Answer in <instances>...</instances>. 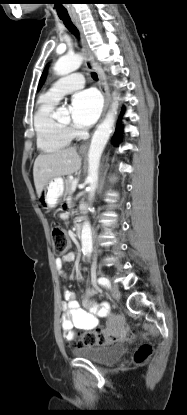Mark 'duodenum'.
<instances>
[{"label":"duodenum","mask_w":187,"mask_h":415,"mask_svg":"<svg viewBox=\"0 0 187 415\" xmlns=\"http://www.w3.org/2000/svg\"><path fill=\"white\" fill-rule=\"evenodd\" d=\"M82 229V220L80 218L76 219L74 224L73 234L76 238H80Z\"/></svg>","instance_id":"obj_1"}]
</instances>
